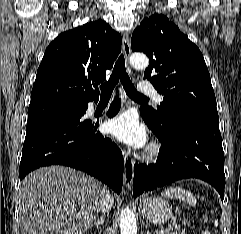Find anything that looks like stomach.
Masks as SVG:
<instances>
[{"label":"stomach","instance_id":"1","mask_svg":"<svg viewBox=\"0 0 241 234\" xmlns=\"http://www.w3.org/2000/svg\"><path fill=\"white\" fill-rule=\"evenodd\" d=\"M140 214L149 222L164 224L172 217L171 205L161 197H148L139 204Z\"/></svg>","mask_w":241,"mask_h":234}]
</instances>
